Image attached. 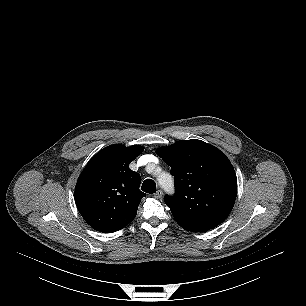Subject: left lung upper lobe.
I'll return each mask as SVG.
<instances>
[{
  "mask_svg": "<svg viewBox=\"0 0 306 306\" xmlns=\"http://www.w3.org/2000/svg\"><path fill=\"white\" fill-rule=\"evenodd\" d=\"M171 167L176 193L164 202L181 227L210 230L231 212L237 177L229 159L201 140L178 141L157 150Z\"/></svg>",
  "mask_w": 306,
  "mask_h": 306,
  "instance_id": "5c2ea615",
  "label": "left lung upper lobe"
}]
</instances>
